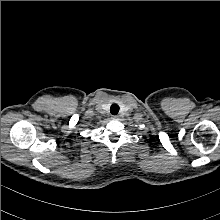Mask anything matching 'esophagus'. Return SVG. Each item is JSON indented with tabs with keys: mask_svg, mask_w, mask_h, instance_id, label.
<instances>
[{
	"mask_svg": "<svg viewBox=\"0 0 220 220\" xmlns=\"http://www.w3.org/2000/svg\"><path fill=\"white\" fill-rule=\"evenodd\" d=\"M119 117L117 116V115H113L112 117H111V119H113V120H117Z\"/></svg>",
	"mask_w": 220,
	"mask_h": 220,
	"instance_id": "1",
	"label": "esophagus"
}]
</instances>
